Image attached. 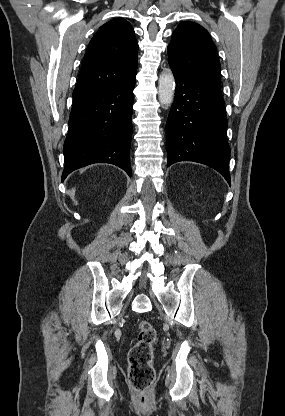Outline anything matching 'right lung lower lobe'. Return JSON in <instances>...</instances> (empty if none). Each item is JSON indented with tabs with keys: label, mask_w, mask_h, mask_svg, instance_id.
<instances>
[{
	"label": "right lung lower lobe",
	"mask_w": 285,
	"mask_h": 416,
	"mask_svg": "<svg viewBox=\"0 0 285 416\" xmlns=\"http://www.w3.org/2000/svg\"><path fill=\"white\" fill-rule=\"evenodd\" d=\"M136 74L115 87L73 102L64 142L62 181L93 163H111L131 176L133 90Z\"/></svg>",
	"instance_id": "obj_1"
}]
</instances>
